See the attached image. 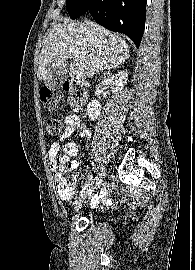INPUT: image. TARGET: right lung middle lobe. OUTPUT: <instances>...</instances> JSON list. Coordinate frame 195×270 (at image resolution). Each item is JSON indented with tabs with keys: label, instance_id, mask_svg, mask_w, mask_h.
Returning a JSON list of instances; mask_svg holds the SVG:
<instances>
[{
	"label": "right lung middle lobe",
	"instance_id": "dd1d6c3e",
	"mask_svg": "<svg viewBox=\"0 0 195 270\" xmlns=\"http://www.w3.org/2000/svg\"><path fill=\"white\" fill-rule=\"evenodd\" d=\"M66 8L71 19L85 14L89 8V0H66Z\"/></svg>",
	"mask_w": 195,
	"mask_h": 270
}]
</instances>
